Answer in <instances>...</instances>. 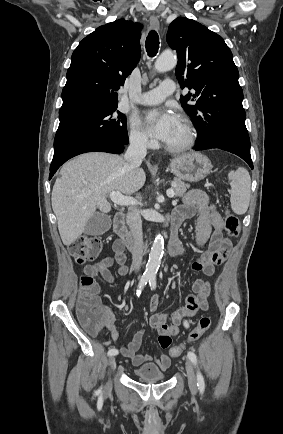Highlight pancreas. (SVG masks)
Masks as SVG:
<instances>
[{"label":"pancreas","mask_w":283,"mask_h":434,"mask_svg":"<svg viewBox=\"0 0 283 434\" xmlns=\"http://www.w3.org/2000/svg\"><path fill=\"white\" fill-rule=\"evenodd\" d=\"M189 187V184L182 182L180 179L175 178L173 181V190L176 196L182 197Z\"/></svg>","instance_id":"obj_1"}]
</instances>
